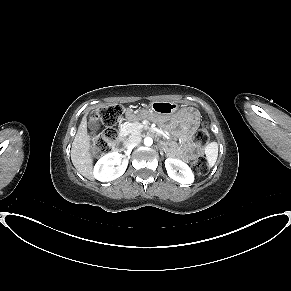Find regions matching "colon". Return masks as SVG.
<instances>
[{
	"mask_svg": "<svg viewBox=\"0 0 291 291\" xmlns=\"http://www.w3.org/2000/svg\"><path fill=\"white\" fill-rule=\"evenodd\" d=\"M124 108L120 105H109L97 110L96 120L105 127L99 134L91 138V152L94 156L106 155L115 148L118 143V132L115 126L123 120ZM209 140V131L206 123H201L196 129L193 141L196 146H204ZM207 161L204 156L199 155L193 162V169L198 174L207 172Z\"/></svg>",
	"mask_w": 291,
	"mask_h": 291,
	"instance_id": "5ec220e1",
	"label": "colon"
}]
</instances>
